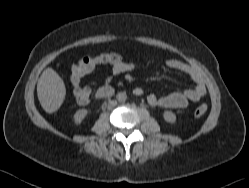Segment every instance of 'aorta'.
<instances>
[{"label": "aorta", "mask_w": 249, "mask_h": 188, "mask_svg": "<svg viewBox=\"0 0 249 188\" xmlns=\"http://www.w3.org/2000/svg\"><path fill=\"white\" fill-rule=\"evenodd\" d=\"M116 98L118 102L124 103L127 100V94L126 92H119L117 93Z\"/></svg>", "instance_id": "1"}]
</instances>
